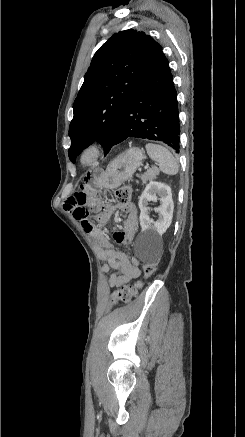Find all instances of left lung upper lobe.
<instances>
[{"label":"left lung upper lobe","mask_w":245,"mask_h":437,"mask_svg":"<svg viewBox=\"0 0 245 437\" xmlns=\"http://www.w3.org/2000/svg\"><path fill=\"white\" fill-rule=\"evenodd\" d=\"M159 47L151 36L129 29L114 34L95 53L73 104L68 151L73 163L96 140L105 153L111 149L125 104Z\"/></svg>","instance_id":"obj_1"}]
</instances>
